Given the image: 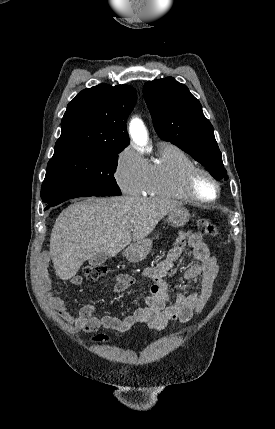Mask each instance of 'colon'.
<instances>
[{"mask_svg":"<svg viewBox=\"0 0 275 429\" xmlns=\"http://www.w3.org/2000/svg\"><path fill=\"white\" fill-rule=\"evenodd\" d=\"M198 227L201 233L207 236H217L218 235V227L215 223L207 218H200L198 220ZM106 273V267L102 265H86L83 268L84 276L91 281H97L101 277H103ZM104 337L99 335L96 337L98 340H102Z\"/></svg>","mask_w":275,"mask_h":429,"instance_id":"colon-1","label":"colon"}]
</instances>
